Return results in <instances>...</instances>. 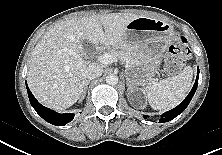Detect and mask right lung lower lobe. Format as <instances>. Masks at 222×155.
Wrapping results in <instances>:
<instances>
[{
    "instance_id": "obj_1",
    "label": "right lung lower lobe",
    "mask_w": 222,
    "mask_h": 155,
    "mask_svg": "<svg viewBox=\"0 0 222 155\" xmlns=\"http://www.w3.org/2000/svg\"><path fill=\"white\" fill-rule=\"evenodd\" d=\"M26 87H27L28 96H29V100L32 107L45 121L56 126H64L65 124H67L68 122L74 119L75 114L73 113L59 114L50 110L49 108L44 107L33 96V94L31 93V91L29 90L27 86V83H26Z\"/></svg>"
}]
</instances>
